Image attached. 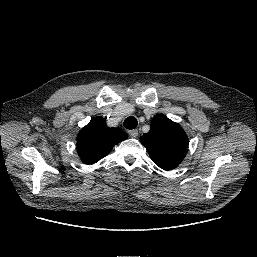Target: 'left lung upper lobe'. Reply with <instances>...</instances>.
<instances>
[{
  "label": "left lung upper lobe",
  "instance_id": "5c2ea615",
  "mask_svg": "<svg viewBox=\"0 0 257 257\" xmlns=\"http://www.w3.org/2000/svg\"><path fill=\"white\" fill-rule=\"evenodd\" d=\"M151 159L160 168L171 170L184 159L188 137L181 126L164 115L152 119L150 131L140 137Z\"/></svg>",
  "mask_w": 257,
  "mask_h": 257
}]
</instances>
